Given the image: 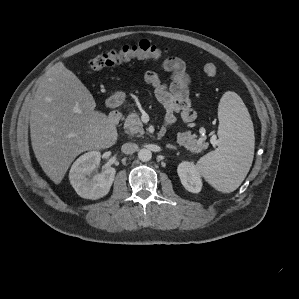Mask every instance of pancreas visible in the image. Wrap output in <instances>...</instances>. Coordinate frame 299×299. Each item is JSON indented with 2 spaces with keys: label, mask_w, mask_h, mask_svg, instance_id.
Here are the masks:
<instances>
[{
  "label": "pancreas",
  "mask_w": 299,
  "mask_h": 299,
  "mask_svg": "<svg viewBox=\"0 0 299 299\" xmlns=\"http://www.w3.org/2000/svg\"><path fill=\"white\" fill-rule=\"evenodd\" d=\"M124 128L126 133L131 136L139 137L144 134L143 123L138 113H131L126 117ZM196 137L197 135L191 134V131L179 132L177 134V143L190 152L199 153L208 147V143L205 142V136L199 139Z\"/></svg>",
  "instance_id": "obj_1"
}]
</instances>
